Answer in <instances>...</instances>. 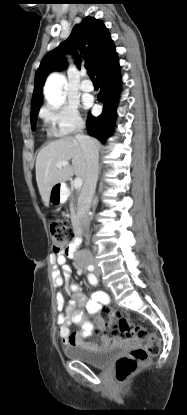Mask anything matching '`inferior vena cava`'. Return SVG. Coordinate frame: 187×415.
Masks as SVG:
<instances>
[{"mask_svg": "<svg viewBox=\"0 0 187 415\" xmlns=\"http://www.w3.org/2000/svg\"><path fill=\"white\" fill-rule=\"evenodd\" d=\"M83 128L84 125H80L78 131L82 132ZM76 139L84 151L86 160L84 185L78 198L77 216L88 238L90 228L89 211L98 180V149L95 142L86 135L79 133L76 135ZM81 254L88 258L92 256L88 250L82 251Z\"/></svg>", "mask_w": 187, "mask_h": 415, "instance_id": "inferior-vena-cava-1", "label": "inferior vena cava"}]
</instances>
